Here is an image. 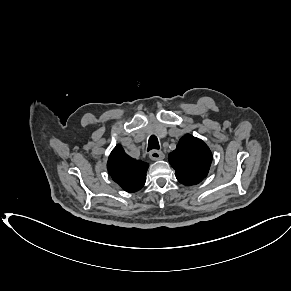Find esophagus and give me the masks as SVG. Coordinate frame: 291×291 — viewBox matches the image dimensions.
<instances>
[{"mask_svg":"<svg viewBox=\"0 0 291 291\" xmlns=\"http://www.w3.org/2000/svg\"><path fill=\"white\" fill-rule=\"evenodd\" d=\"M149 157L151 160L156 161L164 159L165 155L162 151L153 150L150 152Z\"/></svg>","mask_w":291,"mask_h":291,"instance_id":"obj_1","label":"esophagus"}]
</instances>
